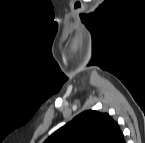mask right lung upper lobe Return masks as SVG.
I'll list each match as a JSON object with an SVG mask.
<instances>
[{"mask_svg":"<svg viewBox=\"0 0 145 143\" xmlns=\"http://www.w3.org/2000/svg\"><path fill=\"white\" fill-rule=\"evenodd\" d=\"M44 143H125L123 134L106 113L84 111L54 132Z\"/></svg>","mask_w":145,"mask_h":143,"instance_id":"1","label":"right lung upper lobe"}]
</instances>
